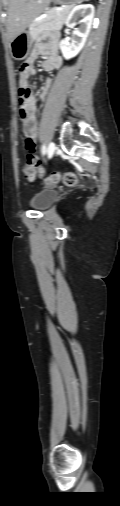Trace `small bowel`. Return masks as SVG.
Instances as JSON below:
<instances>
[{"label":"small bowel","mask_w":120,"mask_h":506,"mask_svg":"<svg viewBox=\"0 0 120 506\" xmlns=\"http://www.w3.org/2000/svg\"><path fill=\"white\" fill-rule=\"evenodd\" d=\"M39 56H44L45 59L42 63V68L45 71H55L61 66L62 60L58 54V40L57 36H50L49 41L38 42L32 50L30 56L25 61L26 69L20 72L19 86L29 89L30 94L25 100L23 108L20 110V118L23 125L24 133L32 138L34 141L38 135L37 119H36V105L35 98L29 83V76L35 74L34 63ZM52 85L50 78L45 79L41 89L40 98L45 100Z\"/></svg>","instance_id":"obj_1"}]
</instances>
